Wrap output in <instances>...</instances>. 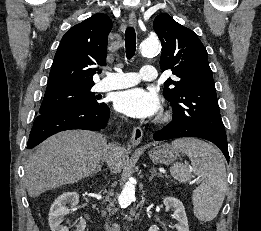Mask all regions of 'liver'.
I'll list each match as a JSON object with an SVG mask.
<instances>
[{"label":"liver","instance_id":"liver-1","mask_svg":"<svg viewBox=\"0 0 261 231\" xmlns=\"http://www.w3.org/2000/svg\"><path fill=\"white\" fill-rule=\"evenodd\" d=\"M107 147L102 134L71 130L45 140L25 163V183L28 195L37 197L43 192L71 184L91 175L102 160ZM124 148L117 146L106 160L113 173L126 164Z\"/></svg>","mask_w":261,"mask_h":231}]
</instances>
